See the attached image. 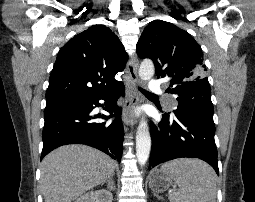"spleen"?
Here are the masks:
<instances>
[{
  "label": "spleen",
  "instance_id": "1",
  "mask_svg": "<svg viewBox=\"0 0 255 202\" xmlns=\"http://www.w3.org/2000/svg\"><path fill=\"white\" fill-rule=\"evenodd\" d=\"M161 171L179 187L169 195L170 202H215L216 173L204 161L177 159L163 164Z\"/></svg>",
  "mask_w": 255,
  "mask_h": 202
}]
</instances>
